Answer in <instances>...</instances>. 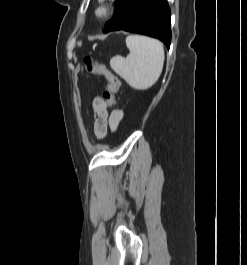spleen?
<instances>
[{
    "label": "spleen",
    "mask_w": 247,
    "mask_h": 265,
    "mask_svg": "<svg viewBox=\"0 0 247 265\" xmlns=\"http://www.w3.org/2000/svg\"><path fill=\"white\" fill-rule=\"evenodd\" d=\"M126 46L129 55L111 58V68L132 88L149 89L157 82L163 69L165 55L162 43L146 36L129 35Z\"/></svg>",
    "instance_id": "1"
}]
</instances>
